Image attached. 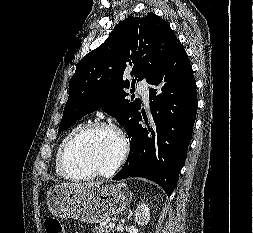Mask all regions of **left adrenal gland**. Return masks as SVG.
<instances>
[{"label": "left adrenal gland", "mask_w": 253, "mask_h": 233, "mask_svg": "<svg viewBox=\"0 0 253 233\" xmlns=\"http://www.w3.org/2000/svg\"><path fill=\"white\" fill-rule=\"evenodd\" d=\"M132 199V193H129V200Z\"/></svg>", "instance_id": "obj_1"}]
</instances>
